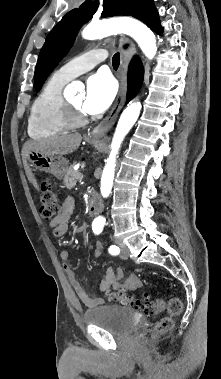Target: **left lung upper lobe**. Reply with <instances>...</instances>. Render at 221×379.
<instances>
[{"label": "left lung upper lobe", "mask_w": 221, "mask_h": 379, "mask_svg": "<svg viewBox=\"0 0 221 379\" xmlns=\"http://www.w3.org/2000/svg\"><path fill=\"white\" fill-rule=\"evenodd\" d=\"M153 0H104L101 17L130 15L141 19ZM99 6L98 0H87L68 12L48 34L35 68V88L39 91L48 75L72 47L82 24L89 21Z\"/></svg>", "instance_id": "left-lung-upper-lobe-1"}]
</instances>
